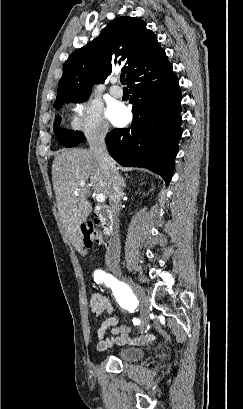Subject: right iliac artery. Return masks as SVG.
Here are the masks:
<instances>
[{"mask_svg": "<svg viewBox=\"0 0 243 409\" xmlns=\"http://www.w3.org/2000/svg\"><path fill=\"white\" fill-rule=\"evenodd\" d=\"M94 280L96 283L104 282L107 287H110L114 296L116 297V300L122 307L128 309L129 311H133L137 307L138 301L129 286L123 282H120L111 274L105 273L102 270H96L94 272ZM133 323L135 325H139L140 319L134 318Z\"/></svg>", "mask_w": 243, "mask_h": 409, "instance_id": "1", "label": "right iliac artery"}]
</instances>
